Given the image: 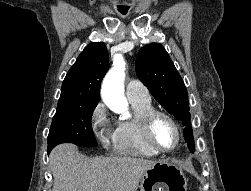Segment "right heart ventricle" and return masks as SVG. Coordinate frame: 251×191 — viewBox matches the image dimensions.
Here are the masks:
<instances>
[{
    "label": "right heart ventricle",
    "instance_id": "obj_1",
    "mask_svg": "<svg viewBox=\"0 0 251 191\" xmlns=\"http://www.w3.org/2000/svg\"><path fill=\"white\" fill-rule=\"evenodd\" d=\"M130 102L134 109V116L118 123L115 130V151L122 155L155 157L157 154L145 142L142 130L143 116L154 109L152 101L146 97L133 99Z\"/></svg>",
    "mask_w": 251,
    "mask_h": 191
}]
</instances>
